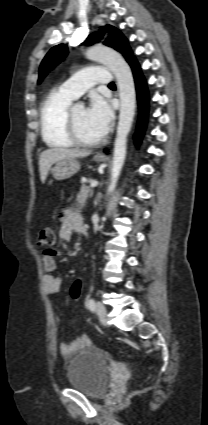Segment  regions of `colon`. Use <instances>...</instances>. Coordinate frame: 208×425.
<instances>
[{
    "label": "colon",
    "instance_id": "5ec220e1",
    "mask_svg": "<svg viewBox=\"0 0 208 425\" xmlns=\"http://www.w3.org/2000/svg\"><path fill=\"white\" fill-rule=\"evenodd\" d=\"M56 242V235L52 228L45 227L41 230L37 243L43 247L47 252H51ZM82 293V281L77 279L70 288V296L73 300H78Z\"/></svg>",
    "mask_w": 208,
    "mask_h": 425
}]
</instances>
